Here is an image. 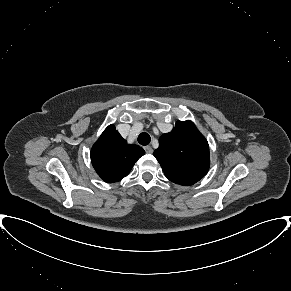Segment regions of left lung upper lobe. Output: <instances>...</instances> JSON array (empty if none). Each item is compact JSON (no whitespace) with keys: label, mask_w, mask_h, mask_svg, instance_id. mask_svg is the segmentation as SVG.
<instances>
[{"label":"left lung upper lobe","mask_w":291,"mask_h":291,"mask_svg":"<svg viewBox=\"0 0 291 291\" xmlns=\"http://www.w3.org/2000/svg\"><path fill=\"white\" fill-rule=\"evenodd\" d=\"M154 156L165 176L184 186L202 179L210 165L208 142L191 121H178L170 133L163 134Z\"/></svg>","instance_id":"1"}]
</instances>
